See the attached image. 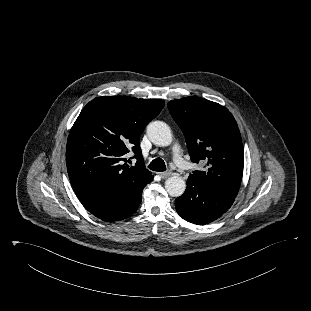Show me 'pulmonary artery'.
<instances>
[{
    "mask_svg": "<svg viewBox=\"0 0 311 311\" xmlns=\"http://www.w3.org/2000/svg\"><path fill=\"white\" fill-rule=\"evenodd\" d=\"M172 154H173V160L175 162V164L182 168V169H187L188 168V164L187 162L184 160L182 153H181V149L180 146L178 144H175L172 148Z\"/></svg>",
    "mask_w": 311,
    "mask_h": 311,
    "instance_id": "obj_1",
    "label": "pulmonary artery"
}]
</instances>
